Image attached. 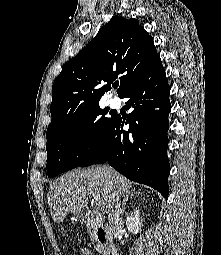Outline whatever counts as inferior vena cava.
Here are the masks:
<instances>
[{
	"label": "inferior vena cava",
	"mask_w": 221,
	"mask_h": 255,
	"mask_svg": "<svg viewBox=\"0 0 221 255\" xmlns=\"http://www.w3.org/2000/svg\"><path fill=\"white\" fill-rule=\"evenodd\" d=\"M120 199H121L120 195H117L114 198V203H113L112 209L108 213L109 224L112 228H114L122 223V220L120 219V211H121Z\"/></svg>",
	"instance_id": "1"
}]
</instances>
